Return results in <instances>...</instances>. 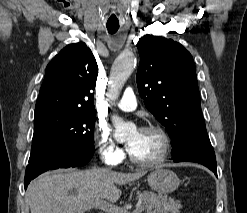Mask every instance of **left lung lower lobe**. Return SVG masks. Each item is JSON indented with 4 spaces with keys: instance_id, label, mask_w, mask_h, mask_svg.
Here are the masks:
<instances>
[{
    "instance_id": "obj_1",
    "label": "left lung lower lobe",
    "mask_w": 247,
    "mask_h": 213,
    "mask_svg": "<svg viewBox=\"0 0 247 213\" xmlns=\"http://www.w3.org/2000/svg\"><path fill=\"white\" fill-rule=\"evenodd\" d=\"M174 162L190 161L208 167L217 176L216 157L207 132L191 134L178 151L172 153Z\"/></svg>"
}]
</instances>
